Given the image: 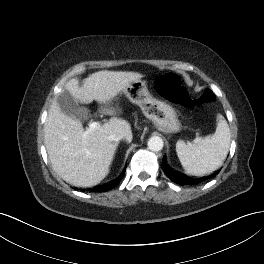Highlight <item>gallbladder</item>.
<instances>
[{
	"mask_svg": "<svg viewBox=\"0 0 264 264\" xmlns=\"http://www.w3.org/2000/svg\"><path fill=\"white\" fill-rule=\"evenodd\" d=\"M56 101L61 111L69 117L77 120H84L89 116V110L80 106L72 94L67 90H62L58 94Z\"/></svg>",
	"mask_w": 264,
	"mask_h": 264,
	"instance_id": "1",
	"label": "gallbladder"
}]
</instances>
